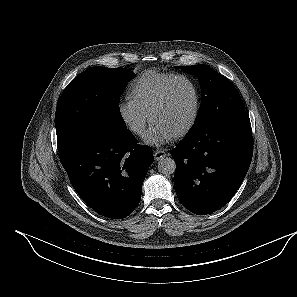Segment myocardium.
<instances>
[{
	"instance_id": "myocardium-1",
	"label": "myocardium",
	"mask_w": 297,
	"mask_h": 297,
	"mask_svg": "<svg viewBox=\"0 0 297 297\" xmlns=\"http://www.w3.org/2000/svg\"><path fill=\"white\" fill-rule=\"evenodd\" d=\"M178 81H185L191 86L193 93H194L195 103H194V109H193L191 118L189 119L188 123L174 135L175 138H181V137L187 135L193 129V127L195 126L197 119L199 117V113H200V109H201V95H200L199 88H198L197 84L194 82V80L186 75L174 76L163 87L159 97L157 98V100L152 105V107L149 111V119H150V121H152L153 115L155 114L156 111H158L166 103L171 88Z\"/></svg>"
}]
</instances>
